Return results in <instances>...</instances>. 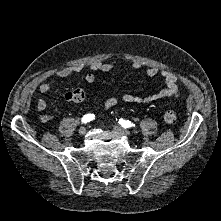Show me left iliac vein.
Wrapping results in <instances>:
<instances>
[{
	"mask_svg": "<svg viewBox=\"0 0 221 221\" xmlns=\"http://www.w3.org/2000/svg\"><path fill=\"white\" fill-rule=\"evenodd\" d=\"M114 130L119 132L122 135H125V136H129L130 135V131L128 129L123 128V127L118 126V125L114 126Z\"/></svg>",
	"mask_w": 221,
	"mask_h": 221,
	"instance_id": "obj_1",
	"label": "left iliac vein"
}]
</instances>
